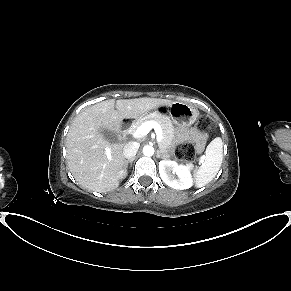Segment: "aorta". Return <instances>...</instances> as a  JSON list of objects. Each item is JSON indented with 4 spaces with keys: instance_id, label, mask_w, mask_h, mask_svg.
I'll list each match as a JSON object with an SVG mask.
<instances>
[{
    "instance_id": "obj_1",
    "label": "aorta",
    "mask_w": 291,
    "mask_h": 291,
    "mask_svg": "<svg viewBox=\"0 0 291 291\" xmlns=\"http://www.w3.org/2000/svg\"><path fill=\"white\" fill-rule=\"evenodd\" d=\"M143 154L145 156H152L154 154V147L152 145H145L143 147Z\"/></svg>"
}]
</instances>
